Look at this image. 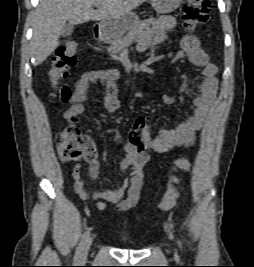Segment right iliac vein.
I'll list each match as a JSON object with an SVG mask.
<instances>
[{
  "label": "right iliac vein",
  "instance_id": "63e3f726",
  "mask_svg": "<svg viewBox=\"0 0 254 267\" xmlns=\"http://www.w3.org/2000/svg\"><path fill=\"white\" fill-rule=\"evenodd\" d=\"M92 244V238H88L84 244L83 250L81 252L80 260L84 262L87 259L89 249Z\"/></svg>",
  "mask_w": 254,
  "mask_h": 267
}]
</instances>
